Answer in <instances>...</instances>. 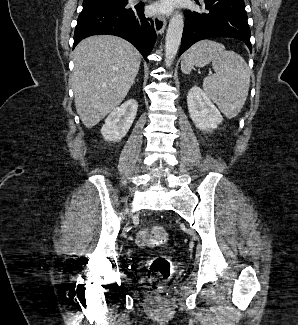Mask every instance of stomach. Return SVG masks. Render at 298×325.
<instances>
[{
  "instance_id": "1",
  "label": "stomach",
  "mask_w": 298,
  "mask_h": 325,
  "mask_svg": "<svg viewBox=\"0 0 298 325\" xmlns=\"http://www.w3.org/2000/svg\"><path fill=\"white\" fill-rule=\"evenodd\" d=\"M184 62H185V58L183 56L181 64H184Z\"/></svg>"
}]
</instances>
